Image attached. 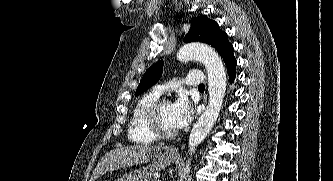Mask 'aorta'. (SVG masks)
<instances>
[{
    "label": "aorta",
    "mask_w": 333,
    "mask_h": 181,
    "mask_svg": "<svg viewBox=\"0 0 333 181\" xmlns=\"http://www.w3.org/2000/svg\"><path fill=\"white\" fill-rule=\"evenodd\" d=\"M177 59L180 61L196 59L205 66L208 74V105L190 133L188 145L191 156L209 134L219 116L227 86L226 72L218 53L208 45L199 43L185 45L177 53ZM190 160L188 159L186 163L180 181H183L190 171Z\"/></svg>",
    "instance_id": "aorta-1"
}]
</instances>
